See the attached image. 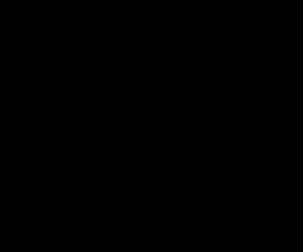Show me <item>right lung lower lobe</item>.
I'll return each instance as SVG.
<instances>
[{
	"instance_id": "obj_1",
	"label": "right lung lower lobe",
	"mask_w": 303,
	"mask_h": 252,
	"mask_svg": "<svg viewBox=\"0 0 303 252\" xmlns=\"http://www.w3.org/2000/svg\"><path fill=\"white\" fill-rule=\"evenodd\" d=\"M85 151L86 155H89V148H85Z\"/></svg>"
}]
</instances>
